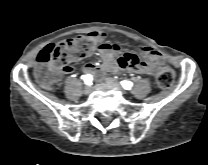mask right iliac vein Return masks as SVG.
Wrapping results in <instances>:
<instances>
[{
	"mask_svg": "<svg viewBox=\"0 0 208 165\" xmlns=\"http://www.w3.org/2000/svg\"><path fill=\"white\" fill-rule=\"evenodd\" d=\"M83 91H84L85 94H89L90 91H91V87L90 86H86Z\"/></svg>",
	"mask_w": 208,
	"mask_h": 165,
	"instance_id": "63e3f726",
	"label": "right iliac vein"
}]
</instances>
